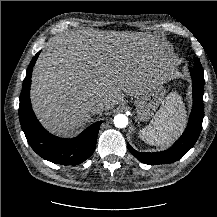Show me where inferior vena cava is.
<instances>
[{"instance_id":"inferior-vena-cava-1","label":"inferior vena cava","mask_w":217,"mask_h":217,"mask_svg":"<svg viewBox=\"0 0 217 217\" xmlns=\"http://www.w3.org/2000/svg\"><path fill=\"white\" fill-rule=\"evenodd\" d=\"M105 108V101H94L89 105L91 113H100Z\"/></svg>"}]
</instances>
